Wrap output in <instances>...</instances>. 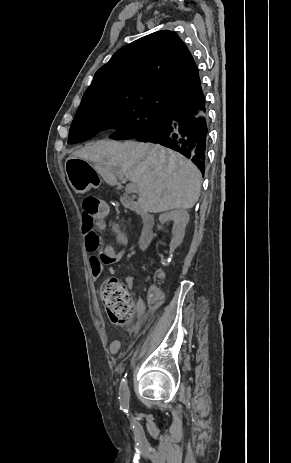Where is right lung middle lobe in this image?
I'll return each mask as SVG.
<instances>
[{"label": "right lung middle lobe", "instance_id": "dd1d6c3e", "mask_svg": "<svg viewBox=\"0 0 291 463\" xmlns=\"http://www.w3.org/2000/svg\"><path fill=\"white\" fill-rule=\"evenodd\" d=\"M165 114L129 101L107 102L78 109L69 131L68 143L83 142L98 132L116 128V140L135 139L162 124Z\"/></svg>", "mask_w": 291, "mask_h": 463}]
</instances>
